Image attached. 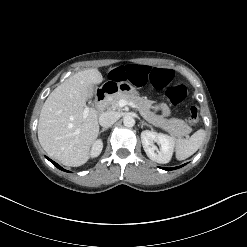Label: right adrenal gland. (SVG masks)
Segmentation results:
<instances>
[{
	"mask_svg": "<svg viewBox=\"0 0 247 247\" xmlns=\"http://www.w3.org/2000/svg\"><path fill=\"white\" fill-rule=\"evenodd\" d=\"M107 129H108V128H102L101 131H100V133L106 131Z\"/></svg>",
	"mask_w": 247,
	"mask_h": 247,
	"instance_id": "right-adrenal-gland-1",
	"label": "right adrenal gland"
}]
</instances>
